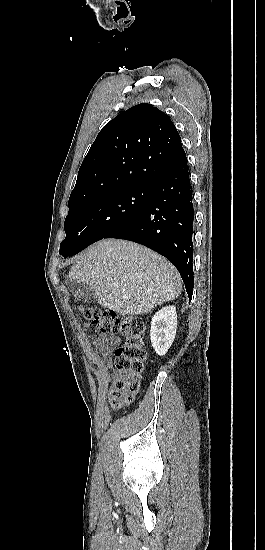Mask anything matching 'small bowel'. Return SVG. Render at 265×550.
<instances>
[{"label": "small bowel", "mask_w": 265, "mask_h": 550, "mask_svg": "<svg viewBox=\"0 0 265 550\" xmlns=\"http://www.w3.org/2000/svg\"><path fill=\"white\" fill-rule=\"evenodd\" d=\"M119 342L120 340L116 337L102 334L94 340L93 345L99 351L101 356L105 360L109 361L111 358L110 348L118 345ZM91 359L96 361L97 356L94 353H91Z\"/></svg>", "instance_id": "c3829d8e"}]
</instances>
